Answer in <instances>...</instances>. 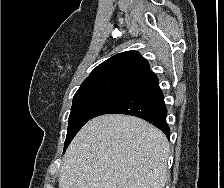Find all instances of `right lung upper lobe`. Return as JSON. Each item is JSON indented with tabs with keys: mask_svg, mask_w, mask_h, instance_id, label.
I'll use <instances>...</instances> for the list:
<instances>
[{
	"mask_svg": "<svg viewBox=\"0 0 224 188\" xmlns=\"http://www.w3.org/2000/svg\"><path fill=\"white\" fill-rule=\"evenodd\" d=\"M149 67L148 61L139 52L126 51L116 54L98 65L83 83L108 78L132 80Z\"/></svg>",
	"mask_w": 224,
	"mask_h": 188,
	"instance_id": "right-lung-upper-lobe-1",
	"label": "right lung upper lobe"
}]
</instances>
